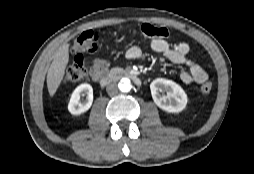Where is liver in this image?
Listing matches in <instances>:
<instances>
[{"label": "liver", "instance_id": "6515ba94", "mask_svg": "<svg viewBox=\"0 0 254 174\" xmlns=\"http://www.w3.org/2000/svg\"><path fill=\"white\" fill-rule=\"evenodd\" d=\"M68 62L69 44H65L56 51L47 73V87L50 96H53L59 88Z\"/></svg>", "mask_w": 254, "mask_h": 174}]
</instances>
